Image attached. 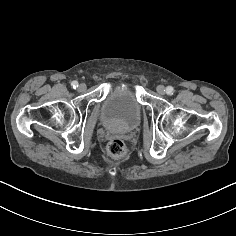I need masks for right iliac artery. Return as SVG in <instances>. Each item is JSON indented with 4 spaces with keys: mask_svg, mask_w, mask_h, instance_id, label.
<instances>
[{
    "mask_svg": "<svg viewBox=\"0 0 236 236\" xmlns=\"http://www.w3.org/2000/svg\"><path fill=\"white\" fill-rule=\"evenodd\" d=\"M71 85H72V87H73L74 89H76V88L78 87V82H77V81H73V82L71 83Z\"/></svg>",
    "mask_w": 236,
    "mask_h": 236,
    "instance_id": "obj_1",
    "label": "right iliac artery"
}]
</instances>
